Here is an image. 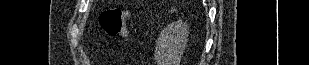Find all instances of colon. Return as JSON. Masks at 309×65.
<instances>
[{
  "label": "colon",
  "mask_w": 309,
  "mask_h": 65,
  "mask_svg": "<svg viewBox=\"0 0 309 65\" xmlns=\"http://www.w3.org/2000/svg\"><path fill=\"white\" fill-rule=\"evenodd\" d=\"M129 13L119 8H111L100 15L99 23L102 29L113 37L124 36Z\"/></svg>",
  "instance_id": "colon-1"
}]
</instances>
